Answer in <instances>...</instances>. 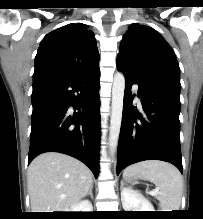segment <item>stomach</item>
<instances>
[{"instance_id": "0dacf381", "label": "stomach", "mask_w": 203, "mask_h": 219, "mask_svg": "<svg viewBox=\"0 0 203 219\" xmlns=\"http://www.w3.org/2000/svg\"><path fill=\"white\" fill-rule=\"evenodd\" d=\"M134 178H135V177H130V178H125V177H124V179H125L127 182H132V181L134 180Z\"/></svg>"}]
</instances>
